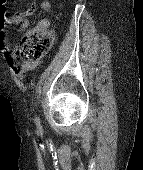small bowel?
Returning a JSON list of instances; mask_svg holds the SVG:
<instances>
[{
    "mask_svg": "<svg viewBox=\"0 0 143 170\" xmlns=\"http://www.w3.org/2000/svg\"><path fill=\"white\" fill-rule=\"evenodd\" d=\"M36 12V5L32 3L26 10L21 12H15L7 21H0V43L2 45V53L6 61L8 62L11 71L16 76L22 77L26 73L34 70L39 61L18 63L15 60V55L7 45L8 27L11 25L19 24L22 29H25L29 25V18L34 16ZM47 22L44 21L42 26H47Z\"/></svg>",
    "mask_w": 143,
    "mask_h": 170,
    "instance_id": "c3829d8e",
    "label": "small bowel"
}]
</instances>
